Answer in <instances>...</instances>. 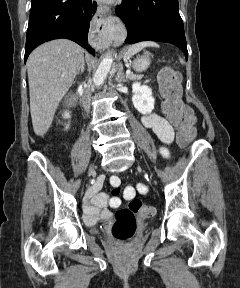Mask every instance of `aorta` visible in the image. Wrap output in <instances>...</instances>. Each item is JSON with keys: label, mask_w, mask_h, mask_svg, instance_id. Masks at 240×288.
<instances>
[{"label": "aorta", "mask_w": 240, "mask_h": 288, "mask_svg": "<svg viewBox=\"0 0 240 288\" xmlns=\"http://www.w3.org/2000/svg\"><path fill=\"white\" fill-rule=\"evenodd\" d=\"M111 66H112V55L111 53H107L106 56H104V58L100 62L93 76V83L96 87H99L104 83L107 74L111 69Z\"/></svg>", "instance_id": "762f6f07"}]
</instances>
